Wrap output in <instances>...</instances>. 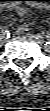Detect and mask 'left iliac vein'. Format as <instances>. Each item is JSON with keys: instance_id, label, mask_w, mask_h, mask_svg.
<instances>
[{"instance_id": "obj_1", "label": "left iliac vein", "mask_w": 50, "mask_h": 111, "mask_svg": "<svg viewBox=\"0 0 50 111\" xmlns=\"http://www.w3.org/2000/svg\"><path fill=\"white\" fill-rule=\"evenodd\" d=\"M33 37H35L39 43H43V38L40 35H33Z\"/></svg>"}]
</instances>
